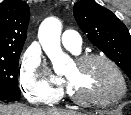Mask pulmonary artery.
<instances>
[{
  "label": "pulmonary artery",
  "mask_w": 131,
  "mask_h": 115,
  "mask_svg": "<svg viewBox=\"0 0 131 115\" xmlns=\"http://www.w3.org/2000/svg\"><path fill=\"white\" fill-rule=\"evenodd\" d=\"M61 41L66 49L75 53H78L81 49V37L76 31L67 30L63 32Z\"/></svg>",
  "instance_id": "1"
}]
</instances>
